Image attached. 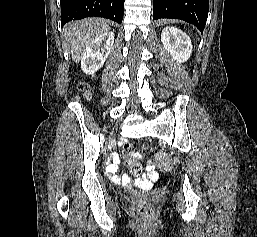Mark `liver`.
I'll use <instances>...</instances> for the list:
<instances>
[{
    "label": "liver",
    "instance_id": "1",
    "mask_svg": "<svg viewBox=\"0 0 257 237\" xmlns=\"http://www.w3.org/2000/svg\"><path fill=\"white\" fill-rule=\"evenodd\" d=\"M109 29L106 20L100 18H88L68 24L64 35L70 44L73 61L78 63L90 43Z\"/></svg>",
    "mask_w": 257,
    "mask_h": 237
}]
</instances>
